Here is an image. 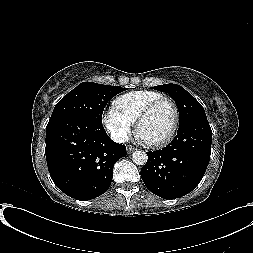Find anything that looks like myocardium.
Wrapping results in <instances>:
<instances>
[{"label": "myocardium", "instance_id": "1", "mask_svg": "<svg viewBox=\"0 0 253 253\" xmlns=\"http://www.w3.org/2000/svg\"><path fill=\"white\" fill-rule=\"evenodd\" d=\"M167 102L169 103L174 111V123L173 126L170 130V132L160 141L157 142H146V144L150 147L153 148H161L166 146L168 143H170L172 141V139L175 137L179 125H180V112H179V108L176 104V102L169 98V97H161L158 99L153 100L152 102H150L148 105H146L144 107V109L141 111V113L139 114L137 120H136V133L139 135V130H140V126L141 124L145 121V119L152 113V111L160 104Z\"/></svg>", "mask_w": 253, "mask_h": 253}]
</instances>
